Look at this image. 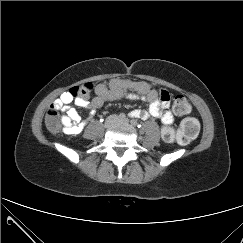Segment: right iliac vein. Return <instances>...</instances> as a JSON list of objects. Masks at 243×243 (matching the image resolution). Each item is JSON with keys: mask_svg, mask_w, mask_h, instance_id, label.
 Listing matches in <instances>:
<instances>
[{"mask_svg": "<svg viewBox=\"0 0 243 243\" xmlns=\"http://www.w3.org/2000/svg\"><path fill=\"white\" fill-rule=\"evenodd\" d=\"M117 122V117L115 115H112L110 117H108L105 121V127H111L112 125H114Z\"/></svg>", "mask_w": 243, "mask_h": 243, "instance_id": "obj_1", "label": "right iliac vein"}]
</instances>
